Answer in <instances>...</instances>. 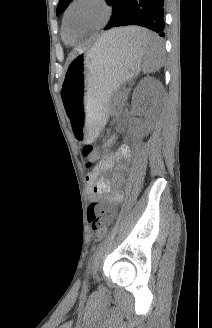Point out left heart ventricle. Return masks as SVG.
I'll return each instance as SVG.
<instances>
[{
    "mask_svg": "<svg viewBox=\"0 0 212 328\" xmlns=\"http://www.w3.org/2000/svg\"><path fill=\"white\" fill-rule=\"evenodd\" d=\"M105 13L101 6L93 2H82L76 5L69 14V32L82 33L99 25Z\"/></svg>",
    "mask_w": 212,
    "mask_h": 328,
    "instance_id": "left-heart-ventricle-1",
    "label": "left heart ventricle"
}]
</instances>
